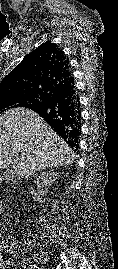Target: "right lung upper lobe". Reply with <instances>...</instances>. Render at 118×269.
Instances as JSON below:
<instances>
[{"mask_svg":"<svg viewBox=\"0 0 118 269\" xmlns=\"http://www.w3.org/2000/svg\"><path fill=\"white\" fill-rule=\"evenodd\" d=\"M73 83L64 52L56 44L45 42L26 55L0 83V99L32 97L41 105Z\"/></svg>","mask_w":118,"mask_h":269,"instance_id":"right-lung-upper-lobe-1","label":"right lung upper lobe"}]
</instances>
